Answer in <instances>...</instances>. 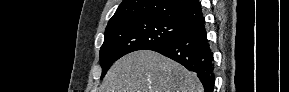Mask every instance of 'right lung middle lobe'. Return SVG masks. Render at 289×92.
I'll list each match as a JSON object with an SVG mask.
<instances>
[{
    "mask_svg": "<svg viewBox=\"0 0 289 92\" xmlns=\"http://www.w3.org/2000/svg\"><path fill=\"white\" fill-rule=\"evenodd\" d=\"M187 25L158 18H130L108 25L100 49L101 78L120 57L151 49L180 35Z\"/></svg>",
    "mask_w": 289,
    "mask_h": 92,
    "instance_id": "dd1d6c3e",
    "label": "right lung middle lobe"
}]
</instances>
